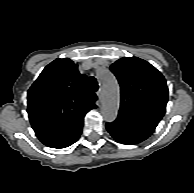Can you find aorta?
<instances>
[{
  "mask_svg": "<svg viewBox=\"0 0 194 193\" xmlns=\"http://www.w3.org/2000/svg\"><path fill=\"white\" fill-rule=\"evenodd\" d=\"M98 79L103 89L101 113L106 121L112 122L119 109V85L115 76L108 70L98 72Z\"/></svg>",
  "mask_w": 194,
  "mask_h": 193,
  "instance_id": "1",
  "label": "aorta"
}]
</instances>
